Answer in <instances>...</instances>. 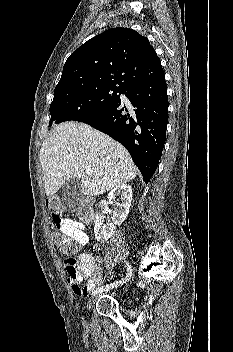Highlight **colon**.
Masks as SVG:
<instances>
[{
    "label": "colon",
    "mask_w": 233,
    "mask_h": 352,
    "mask_svg": "<svg viewBox=\"0 0 233 352\" xmlns=\"http://www.w3.org/2000/svg\"><path fill=\"white\" fill-rule=\"evenodd\" d=\"M76 214L78 218L85 223L92 222L95 218V214L92 208V201L89 198H86L82 201L80 207L77 209ZM53 241L56 243L60 251L67 255L72 257L75 255L78 250L79 246L76 242L71 240L69 237L59 233V232H54L53 235ZM93 268H89L86 270V272L92 271Z\"/></svg>",
    "instance_id": "obj_1"
}]
</instances>
